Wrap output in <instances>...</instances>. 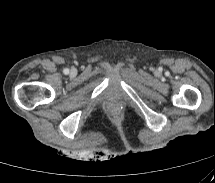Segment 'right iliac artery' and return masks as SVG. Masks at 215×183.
<instances>
[{
    "mask_svg": "<svg viewBox=\"0 0 215 183\" xmlns=\"http://www.w3.org/2000/svg\"><path fill=\"white\" fill-rule=\"evenodd\" d=\"M64 73H65V74L69 73V70H68V69H65V70H64Z\"/></svg>",
    "mask_w": 215,
    "mask_h": 183,
    "instance_id": "right-iliac-artery-1",
    "label": "right iliac artery"
}]
</instances>
